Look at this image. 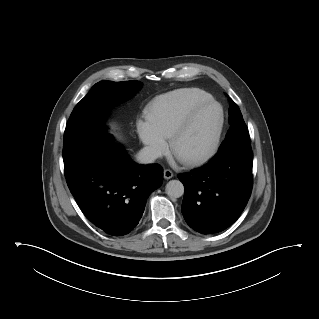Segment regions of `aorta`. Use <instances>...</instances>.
<instances>
[{"label":"aorta","instance_id":"1","mask_svg":"<svg viewBox=\"0 0 319 319\" xmlns=\"http://www.w3.org/2000/svg\"><path fill=\"white\" fill-rule=\"evenodd\" d=\"M165 190L171 198H179L184 194V186L179 180H170L166 184Z\"/></svg>","mask_w":319,"mask_h":319}]
</instances>
